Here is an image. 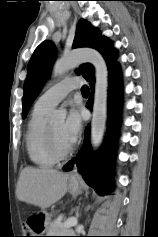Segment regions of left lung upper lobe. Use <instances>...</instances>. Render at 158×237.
<instances>
[{
	"instance_id": "1",
	"label": "left lung upper lobe",
	"mask_w": 158,
	"mask_h": 237,
	"mask_svg": "<svg viewBox=\"0 0 158 237\" xmlns=\"http://www.w3.org/2000/svg\"><path fill=\"white\" fill-rule=\"evenodd\" d=\"M91 47L98 50L104 57L108 68L115 63L118 52L112 42L101 34L98 28L93 27L86 20H79L73 48ZM56 57V47L52 41L42 42L34 51L29 64L27 77L24 83L23 118L26 117L32 102L39 94ZM87 81L94 79V67L85 63L79 70Z\"/></svg>"
}]
</instances>
